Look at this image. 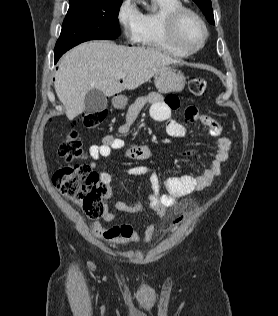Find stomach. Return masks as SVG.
Here are the masks:
<instances>
[{"mask_svg":"<svg viewBox=\"0 0 278 316\" xmlns=\"http://www.w3.org/2000/svg\"><path fill=\"white\" fill-rule=\"evenodd\" d=\"M185 84L184 74L173 67L165 66L155 74V86L160 93L180 92ZM127 101V97L119 95L112 99V104L117 109H123Z\"/></svg>","mask_w":278,"mask_h":316,"instance_id":"0dacf381","label":"stomach"}]
</instances>
